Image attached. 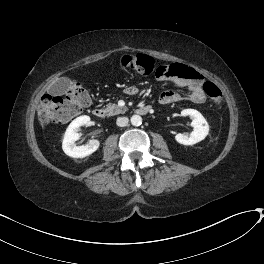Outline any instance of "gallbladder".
<instances>
[{
	"label": "gallbladder",
	"instance_id": "bac80fb5",
	"mask_svg": "<svg viewBox=\"0 0 264 264\" xmlns=\"http://www.w3.org/2000/svg\"><path fill=\"white\" fill-rule=\"evenodd\" d=\"M71 86L72 81L69 78H61L51 86L50 91L52 93L61 94L64 93Z\"/></svg>",
	"mask_w": 264,
	"mask_h": 264
}]
</instances>
